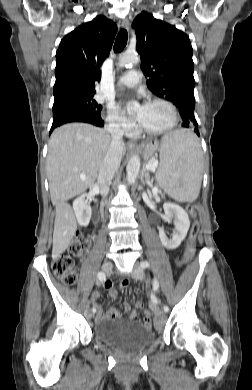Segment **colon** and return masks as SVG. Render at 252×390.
I'll return each mask as SVG.
<instances>
[{
	"mask_svg": "<svg viewBox=\"0 0 252 390\" xmlns=\"http://www.w3.org/2000/svg\"><path fill=\"white\" fill-rule=\"evenodd\" d=\"M187 210L192 217L196 215V206L189 204ZM200 226L197 221H194L185 252V260L190 259L195 253L196 237L199 233ZM89 245V239L86 236L76 237L69 245L68 252L57 257L53 262V271L55 275L65 284L71 286L76 281L75 258L81 256ZM122 288L126 289V283H122ZM152 314L150 311L144 312V323L150 325Z\"/></svg>",
	"mask_w": 252,
	"mask_h": 390,
	"instance_id": "5ec220e1",
	"label": "colon"
}]
</instances>
